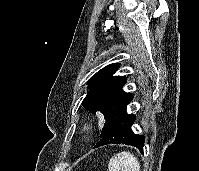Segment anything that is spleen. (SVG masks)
<instances>
[{"label": "spleen", "instance_id": "1", "mask_svg": "<svg viewBox=\"0 0 199 171\" xmlns=\"http://www.w3.org/2000/svg\"><path fill=\"white\" fill-rule=\"evenodd\" d=\"M109 171H140V163L130 152L123 151L111 157Z\"/></svg>", "mask_w": 199, "mask_h": 171}]
</instances>
